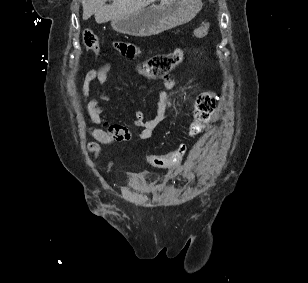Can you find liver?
Here are the masks:
<instances>
[{"label": "liver", "mask_w": 308, "mask_h": 283, "mask_svg": "<svg viewBox=\"0 0 308 283\" xmlns=\"http://www.w3.org/2000/svg\"><path fill=\"white\" fill-rule=\"evenodd\" d=\"M107 1L81 0L83 19L87 20L94 15L97 23H105L115 18L131 15L157 0H113L112 4L106 5Z\"/></svg>", "instance_id": "liver-1"}]
</instances>
